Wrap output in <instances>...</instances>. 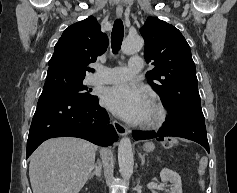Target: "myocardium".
Instances as JSON below:
<instances>
[{
  "instance_id": "myocardium-1",
  "label": "myocardium",
  "mask_w": 237,
  "mask_h": 193,
  "mask_svg": "<svg viewBox=\"0 0 237 193\" xmlns=\"http://www.w3.org/2000/svg\"><path fill=\"white\" fill-rule=\"evenodd\" d=\"M150 103L154 108V115L148 120L141 121V127L148 129L161 127L167 119V110L157 98H152Z\"/></svg>"
}]
</instances>
